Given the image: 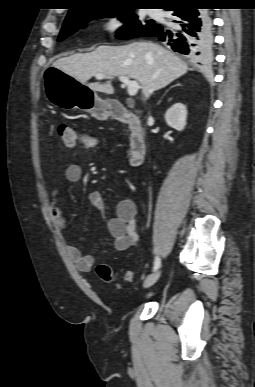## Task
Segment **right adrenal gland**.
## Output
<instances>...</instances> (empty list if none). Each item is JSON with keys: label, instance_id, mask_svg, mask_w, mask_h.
<instances>
[{"label": "right adrenal gland", "instance_id": "1", "mask_svg": "<svg viewBox=\"0 0 255 387\" xmlns=\"http://www.w3.org/2000/svg\"><path fill=\"white\" fill-rule=\"evenodd\" d=\"M179 85H180V84H176V85L170 87V89L173 88V87H175V86H179ZM168 91H169V89L166 90V92L164 93L163 97L166 95V93H167ZM160 102H161V100L158 102V104H160Z\"/></svg>", "mask_w": 255, "mask_h": 387}]
</instances>
